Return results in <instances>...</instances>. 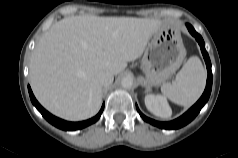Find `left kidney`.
<instances>
[{
    "label": "left kidney",
    "instance_id": "left-kidney-1",
    "mask_svg": "<svg viewBox=\"0 0 238 158\" xmlns=\"http://www.w3.org/2000/svg\"><path fill=\"white\" fill-rule=\"evenodd\" d=\"M145 105L147 109L155 116L168 118L172 114V110L166 100L161 95L148 94L145 96Z\"/></svg>",
    "mask_w": 238,
    "mask_h": 158
}]
</instances>
